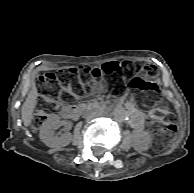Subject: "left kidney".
Segmentation results:
<instances>
[{
    "mask_svg": "<svg viewBox=\"0 0 194 193\" xmlns=\"http://www.w3.org/2000/svg\"><path fill=\"white\" fill-rule=\"evenodd\" d=\"M150 143H151V137L147 132L141 131L135 134V140H134L135 150L137 151L148 150Z\"/></svg>",
    "mask_w": 194,
    "mask_h": 193,
    "instance_id": "5707ae66",
    "label": "left kidney"
}]
</instances>
